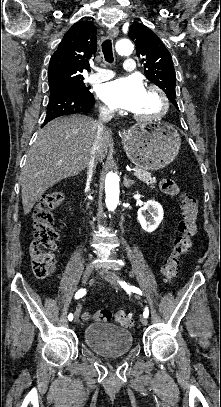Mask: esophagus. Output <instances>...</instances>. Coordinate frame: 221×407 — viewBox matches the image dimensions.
Segmentation results:
<instances>
[{
    "instance_id": "obj_1",
    "label": "esophagus",
    "mask_w": 221,
    "mask_h": 407,
    "mask_svg": "<svg viewBox=\"0 0 221 407\" xmlns=\"http://www.w3.org/2000/svg\"><path fill=\"white\" fill-rule=\"evenodd\" d=\"M118 27L117 26H113L111 28L108 29V36L109 37H115L118 35Z\"/></svg>"
}]
</instances>
